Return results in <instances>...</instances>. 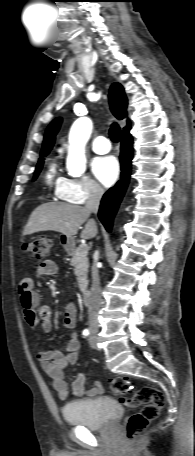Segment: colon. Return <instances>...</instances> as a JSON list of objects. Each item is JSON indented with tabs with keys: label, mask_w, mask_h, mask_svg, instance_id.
<instances>
[{
	"label": "colon",
	"mask_w": 195,
	"mask_h": 456,
	"mask_svg": "<svg viewBox=\"0 0 195 456\" xmlns=\"http://www.w3.org/2000/svg\"><path fill=\"white\" fill-rule=\"evenodd\" d=\"M53 242L49 237L40 236L23 245V250L37 259H43L51 251ZM112 393L128 407H141L133 414L127 423L126 436L128 440H135L158 417L164 403V393L154 387L146 386L131 393L130 381L127 377L116 376L110 379Z\"/></svg>",
	"instance_id": "colon-1"
}]
</instances>
